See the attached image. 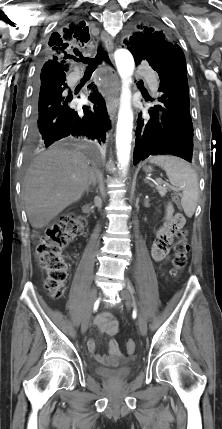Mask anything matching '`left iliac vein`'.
I'll list each match as a JSON object with an SVG mask.
<instances>
[{
	"mask_svg": "<svg viewBox=\"0 0 222 429\" xmlns=\"http://www.w3.org/2000/svg\"><path fill=\"white\" fill-rule=\"evenodd\" d=\"M121 297L125 300L126 304H130L136 307L138 311V326L140 333L145 336L147 333V322L143 313L139 310L138 304L132 294V287L128 285V289H122L120 291Z\"/></svg>",
	"mask_w": 222,
	"mask_h": 429,
	"instance_id": "1",
	"label": "left iliac vein"
}]
</instances>
